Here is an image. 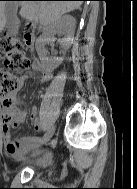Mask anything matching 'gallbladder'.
<instances>
[{
    "instance_id": "1",
    "label": "gallbladder",
    "mask_w": 137,
    "mask_h": 189,
    "mask_svg": "<svg viewBox=\"0 0 137 189\" xmlns=\"http://www.w3.org/2000/svg\"><path fill=\"white\" fill-rule=\"evenodd\" d=\"M19 5L17 2H10L6 7V31L8 35H16L18 33L19 20L17 17V9Z\"/></svg>"
}]
</instances>
